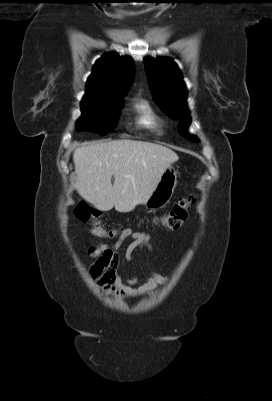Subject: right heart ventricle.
<instances>
[{
  "mask_svg": "<svg viewBox=\"0 0 272 401\" xmlns=\"http://www.w3.org/2000/svg\"><path fill=\"white\" fill-rule=\"evenodd\" d=\"M134 108L137 113L139 125L151 130L159 128V117L149 101L139 100L136 102Z\"/></svg>",
  "mask_w": 272,
  "mask_h": 401,
  "instance_id": "1",
  "label": "right heart ventricle"
}]
</instances>
